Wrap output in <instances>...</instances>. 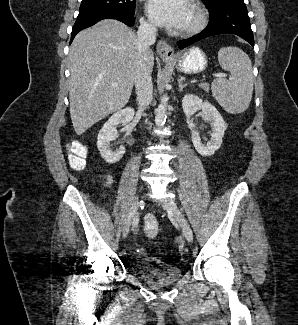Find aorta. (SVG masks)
<instances>
[{
	"mask_svg": "<svg viewBox=\"0 0 298 325\" xmlns=\"http://www.w3.org/2000/svg\"><path fill=\"white\" fill-rule=\"evenodd\" d=\"M169 106V96L167 92H164L160 98V102L156 108L155 124L156 126H162L167 118V110Z\"/></svg>",
	"mask_w": 298,
	"mask_h": 325,
	"instance_id": "obj_1",
	"label": "aorta"
}]
</instances>
